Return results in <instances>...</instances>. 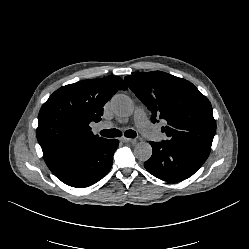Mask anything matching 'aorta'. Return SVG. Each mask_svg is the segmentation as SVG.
I'll list each match as a JSON object with an SVG mask.
<instances>
[{
	"label": "aorta",
	"instance_id": "1",
	"mask_svg": "<svg viewBox=\"0 0 249 249\" xmlns=\"http://www.w3.org/2000/svg\"><path fill=\"white\" fill-rule=\"evenodd\" d=\"M111 108L119 117L131 116L134 112V104L130 97L124 94H116L111 99ZM134 155L139 161H147L152 156V147L148 142H138L134 147Z\"/></svg>",
	"mask_w": 249,
	"mask_h": 249
}]
</instances>
